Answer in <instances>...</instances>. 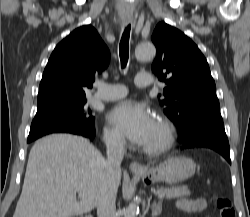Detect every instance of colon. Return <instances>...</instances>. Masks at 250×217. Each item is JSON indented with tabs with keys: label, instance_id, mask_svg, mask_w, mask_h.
<instances>
[{
	"label": "colon",
	"instance_id": "obj_1",
	"mask_svg": "<svg viewBox=\"0 0 250 217\" xmlns=\"http://www.w3.org/2000/svg\"><path fill=\"white\" fill-rule=\"evenodd\" d=\"M214 199L219 217H235V211L229 197L218 194Z\"/></svg>",
	"mask_w": 250,
	"mask_h": 217
}]
</instances>
